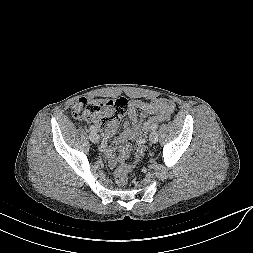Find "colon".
I'll return each mask as SVG.
<instances>
[{
  "instance_id": "obj_1",
  "label": "colon",
  "mask_w": 253,
  "mask_h": 253,
  "mask_svg": "<svg viewBox=\"0 0 253 253\" xmlns=\"http://www.w3.org/2000/svg\"><path fill=\"white\" fill-rule=\"evenodd\" d=\"M127 110L128 102L123 97L117 99L83 97L76 100L71 106L74 117L95 121L98 128L105 133L113 129L116 122L119 121ZM153 122L145 125L139 132L134 162L122 164L115 170V180L119 186H126L128 184L130 172L144 157L147 150L148 131Z\"/></svg>"
}]
</instances>
